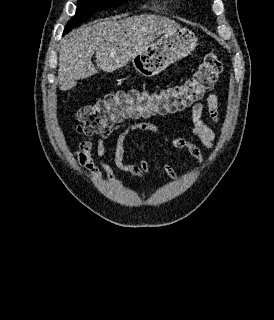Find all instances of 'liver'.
<instances>
[{"instance_id": "liver-1", "label": "liver", "mask_w": 274, "mask_h": 320, "mask_svg": "<svg viewBox=\"0 0 274 320\" xmlns=\"http://www.w3.org/2000/svg\"><path fill=\"white\" fill-rule=\"evenodd\" d=\"M179 28L164 16H132L124 20L105 18L83 24L61 42L58 80L60 90L76 86L75 80L97 74L91 58L103 72H115L126 66L134 56L143 54L161 34Z\"/></svg>"}]
</instances>
